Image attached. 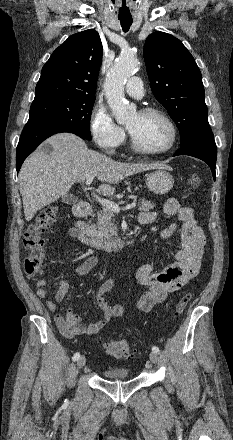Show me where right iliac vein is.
Returning a JSON list of instances; mask_svg holds the SVG:
<instances>
[{
    "label": "right iliac vein",
    "mask_w": 233,
    "mask_h": 440,
    "mask_svg": "<svg viewBox=\"0 0 233 440\" xmlns=\"http://www.w3.org/2000/svg\"><path fill=\"white\" fill-rule=\"evenodd\" d=\"M85 363H86V358H85V356H81V357H79V359L77 360V368H78V369L83 368V366L85 365Z\"/></svg>",
    "instance_id": "right-iliac-vein-1"
}]
</instances>
